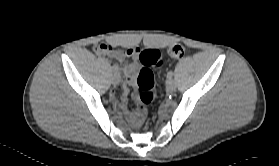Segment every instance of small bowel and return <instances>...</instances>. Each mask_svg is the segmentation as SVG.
Instances as JSON below:
<instances>
[{"label": "small bowel", "mask_w": 279, "mask_h": 166, "mask_svg": "<svg viewBox=\"0 0 279 166\" xmlns=\"http://www.w3.org/2000/svg\"><path fill=\"white\" fill-rule=\"evenodd\" d=\"M97 53L102 56L112 57L118 61H122L126 57L133 58L138 53V49L136 48H129L126 51H121L118 49L113 48L110 45L103 44L98 47ZM137 66L135 63H129L125 66L124 72L126 75V81L124 84V94H123V102L127 101L128 93L130 88L133 86L135 81V76L137 74ZM111 98L114 101H117V97L114 93H112ZM129 119L133 124H137L139 122V118L137 116V112L131 113L129 115Z\"/></svg>", "instance_id": "1"}]
</instances>
